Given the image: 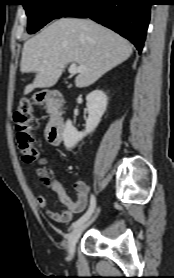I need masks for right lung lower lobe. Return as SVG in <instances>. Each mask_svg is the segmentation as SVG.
<instances>
[{
    "instance_id": "right-lung-lower-lobe-1",
    "label": "right lung lower lobe",
    "mask_w": 174,
    "mask_h": 278,
    "mask_svg": "<svg viewBox=\"0 0 174 278\" xmlns=\"http://www.w3.org/2000/svg\"><path fill=\"white\" fill-rule=\"evenodd\" d=\"M151 0H78L62 17L91 18L130 40L141 52Z\"/></svg>"
}]
</instances>
